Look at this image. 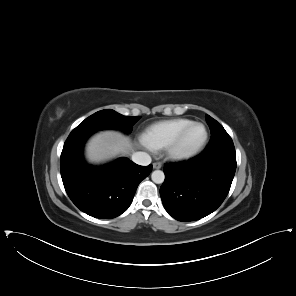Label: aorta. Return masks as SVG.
Segmentation results:
<instances>
[{
  "label": "aorta",
  "mask_w": 296,
  "mask_h": 296,
  "mask_svg": "<svg viewBox=\"0 0 296 296\" xmlns=\"http://www.w3.org/2000/svg\"><path fill=\"white\" fill-rule=\"evenodd\" d=\"M151 179L156 184H161L164 182L165 175L161 170H155L152 172Z\"/></svg>",
  "instance_id": "1"
}]
</instances>
